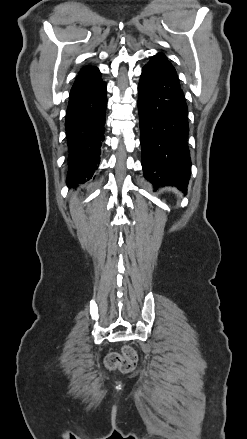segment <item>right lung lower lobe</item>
<instances>
[{
	"label": "right lung lower lobe",
	"mask_w": 247,
	"mask_h": 439,
	"mask_svg": "<svg viewBox=\"0 0 247 439\" xmlns=\"http://www.w3.org/2000/svg\"><path fill=\"white\" fill-rule=\"evenodd\" d=\"M106 83L70 93L66 115L69 146L67 185L86 182L99 164L101 142L104 140Z\"/></svg>",
	"instance_id": "98d812e1"
}]
</instances>
